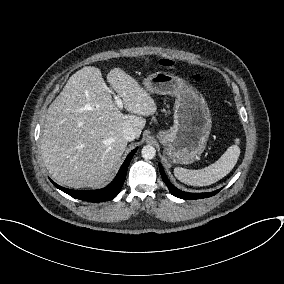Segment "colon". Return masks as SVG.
<instances>
[{
    "label": "colon",
    "instance_id": "colon-1",
    "mask_svg": "<svg viewBox=\"0 0 284 284\" xmlns=\"http://www.w3.org/2000/svg\"><path fill=\"white\" fill-rule=\"evenodd\" d=\"M161 65H163V66H165V67H169V66L172 65V63H171V61H169V60H162V61H161ZM193 80H194L195 82H199V81L201 80V76L198 75V74H196V75L193 76Z\"/></svg>",
    "mask_w": 284,
    "mask_h": 284
}]
</instances>
